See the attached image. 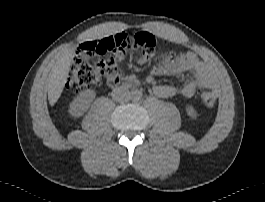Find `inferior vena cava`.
Listing matches in <instances>:
<instances>
[{
    "mask_svg": "<svg viewBox=\"0 0 265 202\" xmlns=\"http://www.w3.org/2000/svg\"><path fill=\"white\" fill-rule=\"evenodd\" d=\"M112 98L117 102H124L130 98V92L126 87L119 86L113 89Z\"/></svg>",
    "mask_w": 265,
    "mask_h": 202,
    "instance_id": "602c4592",
    "label": "inferior vena cava"
}]
</instances>
